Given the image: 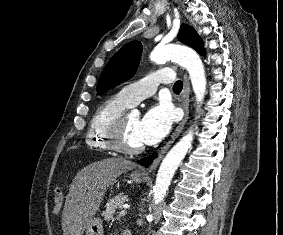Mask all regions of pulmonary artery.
Instances as JSON below:
<instances>
[{
  "label": "pulmonary artery",
  "mask_w": 283,
  "mask_h": 235,
  "mask_svg": "<svg viewBox=\"0 0 283 235\" xmlns=\"http://www.w3.org/2000/svg\"><path fill=\"white\" fill-rule=\"evenodd\" d=\"M173 79V70L171 68H163L123 87L120 94L131 106H134L143 99L153 95L159 84H170Z\"/></svg>",
  "instance_id": "pulmonary-artery-1"
}]
</instances>
